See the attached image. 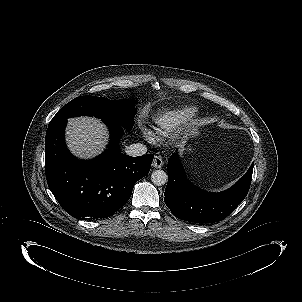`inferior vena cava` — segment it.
I'll list each match as a JSON object with an SVG mask.
<instances>
[{"label":"inferior vena cava","instance_id":"602c4592","mask_svg":"<svg viewBox=\"0 0 302 302\" xmlns=\"http://www.w3.org/2000/svg\"><path fill=\"white\" fill-rule=\"evenodd\" d=\"M146 152H147V147L141 143H134L129 146H126L125 148V153L132 157L142 156L146 154Z\"/></svg>","mask_w":302,"mask_h":302}]
</instances>
